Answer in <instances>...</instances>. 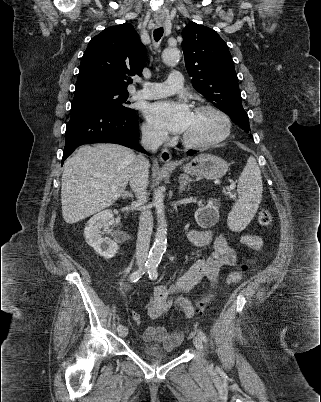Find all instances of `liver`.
Here are the masks:
<instances>
[{
	"label": "liver",
	"instance_id": "6515ba94",
	"mask_svg": "<svg viewBox=\"0 0 321 402\" xmlns=\"http://www.w3.org/2000/svg\"><path fill=\"white\" fill-rule=\"evenodd\" d=\"M137 155L117 144L81 146L64 164L62 216L74 224L111 206L124 192Z\"/></svg>",
	"mask_w": 321,
	"mask_h": 402
}]
</instances>
